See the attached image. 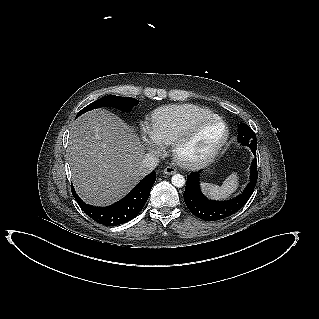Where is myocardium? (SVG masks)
<instances>
[{
    "mask_svg": "<svg viewBox=\"0 0 319 319\" xmlns=\"http://www.w3.org/2000/svg\"><path fill=\"white\" fill-rule=\"evenodd\" d=\"M211 123H219L223 128L220 139L205 153L198 156H188L185 148L196 138L199 132ZM229 138V127L219 116L214 115L195 121L183 134L174 142L172 153L175 161L186 168H200L211 163L220 153Z\"/></svg>",
    "mask_w": 319,
    "mask_h": 319,
    "instance_id": "obj_1",
    "label": "myocardium"
}]
</instances>
